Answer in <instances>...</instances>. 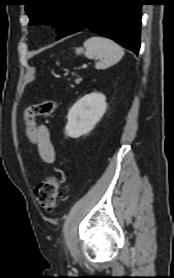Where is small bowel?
I'll return each mask as SVG.
<instances>
[{"instance_id": "obj_1", "label": "small bowel", "mask_w": 174, "mask_h": 278, "mask_svg": "<svg viewBox=\"0 0 174 278\" xmlns=\"http://www.w3.org/2000/svg\"><path fill=\"white\" fill-rule=\"evenodd\" d=\"M37 148L40 158L46 163H53L55 160L54 147L50 139L48 128L40 124L36 126Z\"/></svg>"}]
</instances>
